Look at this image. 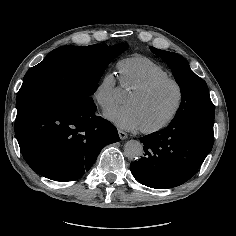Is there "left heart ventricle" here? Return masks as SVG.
Here are the masks:
<instances>
[{
	"label": "left heart ventricle",
	"instance_id": "b2bd125f",
	"mask_svg": "<svg viewBox=\"0 0 236 236\" xmlns=\"http://www.w3.org/2000/svg\"><path fill=\"white\" fill-rule=\"evenodd\" d=\"M177 100L176 87L167 83L146 96L130 93L126 102L137 111L141 127H152L164 121L172 113Z\"/></svg>",
	"mask_w": 236,
	"mask_h": 236
}]
</instances>
